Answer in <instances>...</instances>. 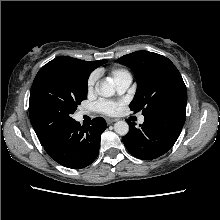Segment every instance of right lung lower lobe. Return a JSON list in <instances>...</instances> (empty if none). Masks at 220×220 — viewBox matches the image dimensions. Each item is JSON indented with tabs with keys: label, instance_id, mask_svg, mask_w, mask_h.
I'll list each match as a JSON object with an SVG mask.
<instances>
[{
	"label": "right lung lower lobe",
	"instance_id": "98d812e1",
	"mask_svg": "<svg viewBox=\"0 0 220 220\" xmlns=\"http://www.w3.org/2000/svg\"><path fill=\"white\" fill-rule=\"evenodd\" d=\"M106 129V122L97 117L87 126L73 120L55 135L40 140L45 151L59 164L80 169L90 165L98 156L100 136Z\"/></svg>",
	"mask_w": 220,
	"mask_h": 220
}]
</instances>
